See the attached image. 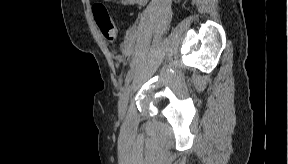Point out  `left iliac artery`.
I'll return each instance as SVG.
<instances>
[{"label":"left iliac artery","instance_id":"44dca946","mask_svg":"<svg viewBox=\"0 0 288 164\" xmlns=\"http://www.w3.org/2000/svg\"><path fill=\"white\" fill-rule=\"evenodd\" d=\"M133 77V73L132 72H128L126 78H125V86L129 84V82L131 81Z\"/></svg>","mask_w":288,"mask_h":164}]
</instances>
